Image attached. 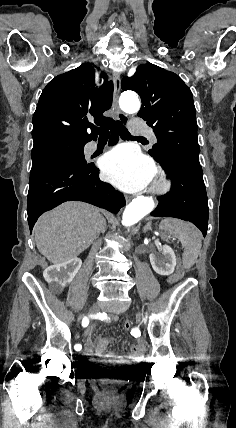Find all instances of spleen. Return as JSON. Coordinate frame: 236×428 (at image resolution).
I'll return each instance as SVG.
<instances>
[{
  "label": "spleen",
  "mask_w": 236,
  "mask_h": 428,
  "mask_svg": "<svg viewBox=\"0 0 236 428\" xmlns=\"http://www.w3.org/2000/svg\"><path fill=\"white\" fill-rule=\"evenodd\" d=\"M160 228L168 232L170 236L178 238L184 248L183 266L186 270L192 268L201 250V234L199 230L193 224H190V222H182V220H177V218H165L161 222Z\"/></svg>",
  "instance_id": "spleen-1"
}]
</instances>
